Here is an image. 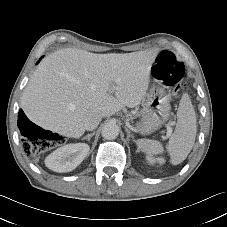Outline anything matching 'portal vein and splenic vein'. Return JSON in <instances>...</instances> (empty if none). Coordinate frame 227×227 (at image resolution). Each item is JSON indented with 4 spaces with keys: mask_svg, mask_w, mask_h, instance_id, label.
<instances>
[{
    "mask_svg": "<svg viewBox=\"0 0 227 227\" xmlns=\"http://www.w3.org/2000/svg\"><path fill=\"white\" fill-rule=\"evenodd\" d=\"M172 134V128L170 127V125H167V137H170Z\"/></svg>",
    "mask_w": 227,
    "mask_h": 227,
    "instance_id": "1",
    "label": "portal vein and splenic vein"
}]
</instances>
